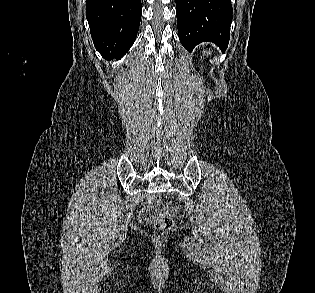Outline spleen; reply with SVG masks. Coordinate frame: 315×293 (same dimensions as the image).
<instances>
[{
    "label": "spleen",
    "instance_id": "obj_1",
    "mask_svg": "<svg viewBox=\"0 0 315 293\" xmlns=\"http://www.w3.org/2000/svg\"><path fill=\"white\" fill-rule=\"evenodd\" d=\"M205 53H207V54H208V52H204V54H205ZM209 54H210V52H209Z\"/></svg>",
    "mask_w": 315,
    "mask_h": 293
}]
</instances>
